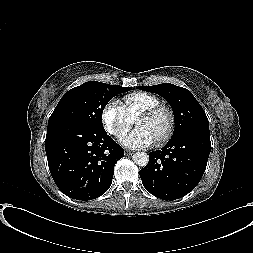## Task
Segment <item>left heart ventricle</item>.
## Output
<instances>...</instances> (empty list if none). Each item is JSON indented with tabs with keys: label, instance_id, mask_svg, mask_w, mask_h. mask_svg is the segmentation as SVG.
Segmentation results:
<instances>
[{
	"label": "left heart ventricle",
	"instance_id": "left-heart-ventricle-1",
	"mask_svg": "<svg viewBox=\"0 0 253 253\" xmlns=\"http://www.w3.org/2000/svg\"><path fill=\"white\" fill-rule=\"evenodd\" d=\"M168 116L166 113H160L154 117H139L136 120L137 128H143L149 131L153 137L158 139L163 135L168 126Z\"/></svg>",
	"mask_w": 253,
	"mask_h": 253
}]
</instances>
